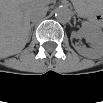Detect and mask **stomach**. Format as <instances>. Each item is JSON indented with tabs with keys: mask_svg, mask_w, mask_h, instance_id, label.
Instances as JSON below:
<instances>
[{
	"mask_svg": "<svg viewBox=\"0 0 103 103\" xmlns=\"http://www.w3.org/2000/svg\"><path fill=\"white\" fill-rule=\"evenodd\" d=\"M91 6H92V3H90V2H78L76 4V9L79 12H82L83 10L90 11L91 10Z\"/></svg>",
	"mask_w": 103,
	"mask_h": 103,
	"instance_id": "stomach-1",
	"label": "stomach"
}]
</instances>
